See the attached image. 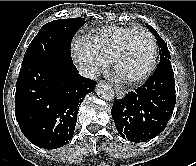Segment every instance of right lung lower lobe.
<instances>
[{
  "label": "right lung lower lobe",
  "mask_w": 196,
  "mask_h": 166,
  "mask_svg": "<svg viewBox=\"0 0 196 166\" xmlns=\"http://www.w3.org/2000/svg\"><path fill=\"white\" fill-rule=\"evenodd\" d=\"M73 61L38 57L22 63L16 83L15 116L34 145L56 149L73 137L79 105L96 82L77 73Z\"/></svg>",
  "instance_id": "obj_1"
}]
</instances>
